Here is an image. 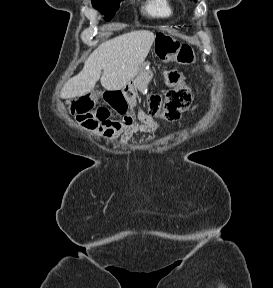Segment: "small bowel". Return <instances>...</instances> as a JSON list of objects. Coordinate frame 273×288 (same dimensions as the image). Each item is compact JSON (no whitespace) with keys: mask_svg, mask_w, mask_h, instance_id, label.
<instances>
[{"mask_svg":"<svg viewBox=\"0 0 273 288\" xmlns=\"http://www.w3.org/2000/svg\"><path fill=\"white\" fill-rule=\"evenodd\" d=\"M158 126L159 124L150 115L140 111L138 113V121L129 126H123L118 129L101 127L99 130L104 137L109 139L120 137L121 142L126 144L136 133H151L154 132Z\"/></svg>","mask_w":273,"mask_h":288,"instance_id":"1","label":"small bowel"}]
</instances>
